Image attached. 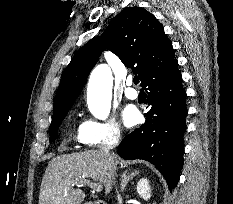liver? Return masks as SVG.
I'll use <instances>...</instances> for the list:
<instances>
[{
	"instance_id": "obj_1",
	"label": "liver",
	"mask_w": 233,
	"mask_h": 204,
	"mask_svg": "<svg viewBox=\"0 0 233 204\" xmlns=\"http://www.w3.org/2000/svg\"><path fill=\"white\" fill-rule=\"evenodd\" d=\"M117 165L118 160L114 156L106 157L101 150L54 157L41 183L39 204H81L85 193L81 189H74L73 184L84 178L104 185L107 195L112 189Z\"/></svg>"
}]
</instances>
